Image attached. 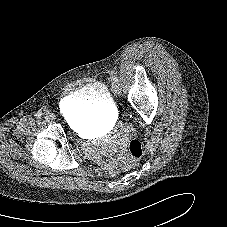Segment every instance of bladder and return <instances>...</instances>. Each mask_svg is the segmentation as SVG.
Returning <instances> with one entry per match:
<instances>
[{
  "label": "bladder",
  "mask_w": 227,
  "mask_h": 227,
  "mask_svg": "<svg viewBox=\"0 0 227 227\" xmlns=\"http://www.w3.org/2000/svg\"><path fill=\"white\" fill-rule=\"evenodd\" d=\"M66 114L76 131L87 132L95 124L106 122L114 113L108 88L93 82L68 94L63 102Z\"/></svg>",
  "instance_id": "bladder-1"
}]
</instances>
